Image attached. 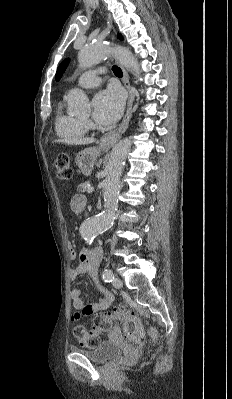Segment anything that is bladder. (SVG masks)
I'll return each mask as SVG.
<instances>
[{
    "label": "bladder",
    "mask_w": 232,
    "mask_h": 399,
    "mask_svg": "<svg viewBox=\"0 0 232 399\" xmlns=\"http://www.w3.org/2000/svg\"><path fill=\"white\" fill-rule=\"evenodd\" d=\"M71 349L74 352L87 356L89 359L97 363L107 362L121 354V348L112 341L100 342L95 347L89 349H83L76 346H72Z\"/></svg>",
    "instance_id": "obj_1"
}]
</instances>
